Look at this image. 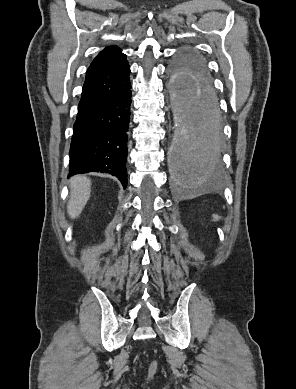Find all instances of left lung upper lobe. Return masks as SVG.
<instances>
[{
	"label": "left lung upper lobe",
	"instance_id": "left-lung-upper-lobe-1",
	"mask_svg": "<svg viewBox=\"0 0 296 389\" xmlns=\"http://www.w3.org/2000/svg\"><path fill=\"white\" fill-rule=\"evenodd\" d=\"M170 70L173 76V84L179 89L185 87L195 89L196 76H203L211 80L204 59L194 50H186L179 53L175 57ZM185 99L188 113L193 117V106L188 98ZM201 114L203 115L202 112Z\"/></svg>",
	"mask_w": 296,
	"mask_h": 389
}]
</instances>
